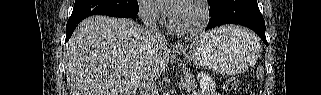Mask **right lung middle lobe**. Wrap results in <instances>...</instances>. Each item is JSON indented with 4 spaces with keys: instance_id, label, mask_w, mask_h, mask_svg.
<instances>
[{
    "instance_id": "dd1d6c3e",
    "label": "right lung middle lobe",
    "mask_w": 321,
    "mask_h": 95,
    "mask_svg": "<svg viewBox=\"0 0 321 95\" xmlns=\"http://www.w3.org/2000/svg\"><path fill=\"white\" fill-rule=\"evenodd\" d=\"M137 13V0H75L71 16L82 14L136 16Z\"/></svg>"
}]
</instances>
